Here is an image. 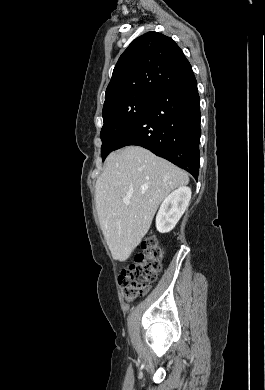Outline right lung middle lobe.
Masks as SVG:
<instances>
[{"instance_id":"obj_1","label":"right lung middle lobe","mask_w":265,"mask_h":390,"mask_svg":"<svg viewBox=\"0 0 265 390\" xmlns=\"http://www.w3.org/2000/svg\"><path fill=\"white\" fill-rule=\"evenodd\" d=\"M156 96L136 94L103 108L104 125L101 129L103 161L115 150L117 143L133 122L146 110Z\"/></svg>"}]
</instances>
